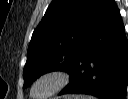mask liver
I'll return each mask as SVG.
<instances>
[{
    "label": "liver",
    "mask_w": 128,
    "mask_h": 99,
    "mask_svg": "<svg viewBox=\"0 0 128 99\" xmlns=\"http://www.w3.org/2000/svg\"><path fill=\"white\" fill-rule=\"evenodd\" d=\"M72 98V96H67L66 97V99H71ZM81 97H79V96H77V97H75V99H80Z\"/></svg>",
    "instance_id": "1"
}]
</instances>
